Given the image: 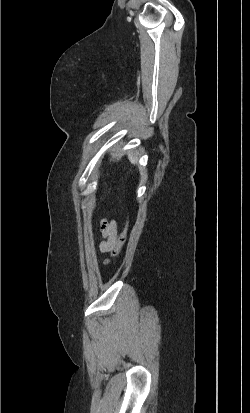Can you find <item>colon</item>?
Instances as JSON below:
<instances>
[{
  "label": "colon",
  "instance_id": "5ec220e1",
  "mask_svg": "<svg viewBox=\"0 0 250 413\" xmlns=\"http://www.w3.org/2000/svg\"><path fill=\"white\" fill-rule=\"evenodd\" d=\"M128 230H129V219L126 220L125 228L123 232L120 234V236L118 237L117 243L111 251L110 258L105 261L106 265L110 263L111 258H114L119 254L121 247L126 242Z\"/></svg>",
  "mask_w": 250,
  "mask_h": 413
}]
</instances>
